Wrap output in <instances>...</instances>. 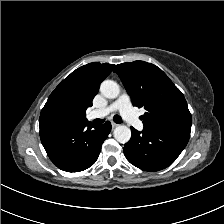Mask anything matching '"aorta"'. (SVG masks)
<instances>
[{"label": "aorta", "instance_id": "aorta-1", "mask_svg": "<svg viewBox=\"0 0 224 224\" xmlns=\"http://www.w3.org/2000/svg\"><path fill=\"white\" fill-rule=\"evenodd\" d=\"M101 94L109 99L118 97L120 93L119 85L113 80H104L100 85ZM114 138L122 144L127 143L131 138V130L125 125H118L114 129Z\"/></svg>", "mask_w": 224, "mask_h": 224}]
</instances>
